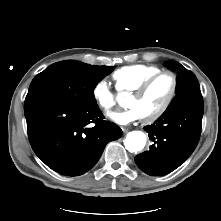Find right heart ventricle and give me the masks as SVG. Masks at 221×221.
<instances>
[{"mask_svg": "<svg viewBox=\"0 0 221 221\" xmlns=\"http://www.w3.org/2000/svg\"><path fill=\"white\" fill-rule=\"evenodd\" d=\"M159 71L161 69L155 66L130 65L118 69L113 73L112 77L118 90L132 92Z\"/></svg>", "mask_w": 221, "mask_h": 221, "instance_id": "obj_1", "label": "right heart ventricle"}]
</instances>
